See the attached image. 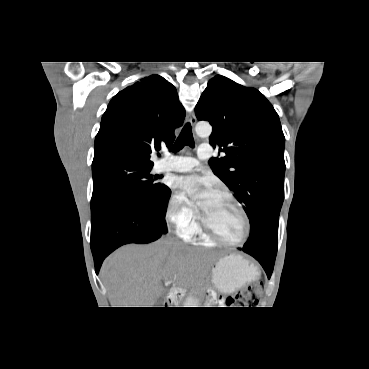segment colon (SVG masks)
<instances>
[{
    "instance_id": "colon-1",
    "label": "colon",
    "mask_w": 369,
    "mask_h": 369,
    "mask_svg": "<svg viewBox=\"0 0 369 369\" xmlns=\"http://www.w3.org/2000/svg\"><path fill=\"white\" fill-rule=\"evenodd\" d=\"M263 283L258 282L238 292L234 297L217 298L212 295L213 300H218L226 307H255L259 302V295L263 289Z\"/></svg>"
}]
</instances>
